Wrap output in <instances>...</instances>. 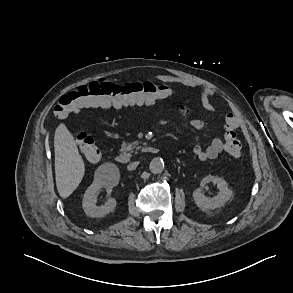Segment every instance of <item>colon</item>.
<instances>
[{"mask_svg":"<svg viewBox=\"0 0 293 293\" xmlns=\"http://www.w3.org/2000/svg\"><path fill=\"white\" fill-rule=\"evenodd\" d=\"M171 94V88L161 83L146 81L118 85L108 81H93L62 96L54 107V115L64 118L87 107H121L162 100ZM238 124L239 121L234 115H227L224 123L225 151L232 157H239L242 149L236 137ZM75 140L86 160L93 163L100 160V150L94 137L86 132H77Z\"/></svg>","mask_w":293,"mask_h":293,"instance_id":"obj_1","label":"colon"}]
</instances>
